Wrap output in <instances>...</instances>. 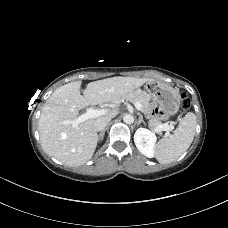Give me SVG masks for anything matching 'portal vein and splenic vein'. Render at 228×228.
Here are the masks:
<instances>
[{"mask_svg": "<svg viewBox=\"0 0 228 228\" xmlns=\"http://www.w3.org/2000/svg\"><path fill=\"white\" fill-rule=\"evenodd\" d=\"M133 104L137 110H139V111L142 110V105L139 102H135ZM106 111L107 110H98V109L89 108V109H87V111L84 114L80 115L77 119H75L73 121H65V124L78 125L79 123H81L87 119L95 118L97 116L105 114ZM160 129L164 130V131H170L171 129H173V127L165 124V125L161 126Z\"/></svg>", "mask_w": 228, "mask_h": 228, "instance_id": "obj_1", "label": "portal vein and splenic vein"}]
</instances>
